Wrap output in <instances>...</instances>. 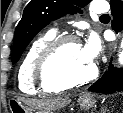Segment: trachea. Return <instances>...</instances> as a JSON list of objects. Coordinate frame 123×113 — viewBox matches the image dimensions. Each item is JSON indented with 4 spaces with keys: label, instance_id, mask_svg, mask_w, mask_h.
<instances>
[{
    "label": "trachea",
    "instance_id": "1",
    "mask_svg": "<svg viewBox=\"0 0 123 113\" xmlns=\"http://www.w3.org/2000/svg\"><path fill=\"white\" fill-rule=\"evenodd\" d=\"M101 18H110L108 14L102 15Z\"/></svg>",
    "mask_w": 123,
    "mask_h": 113
}]
</instances>
